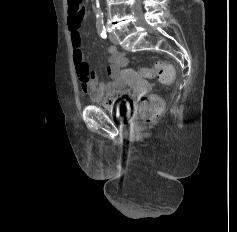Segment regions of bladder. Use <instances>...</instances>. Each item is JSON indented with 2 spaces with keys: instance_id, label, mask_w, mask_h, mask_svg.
<instances>
[{
  "instance_id": "1",
  "label": "bladder",
  "mask_w": 237,
  "mask_h": 232,
  "mask_svg": "<svg viewBox=\"0 0 237 232\" xmlns=\"http://www.w3.org/2000/svg\"><path fill=\"white\" fill-rule=\"evenodd\" d=\"M129 92L124 90L121 94V98L114 104L109 105L103 103L102 106L105 109L112 110L117 117H125L130 111V100L127 98Z\"/></svg>"
}]
</instances>
